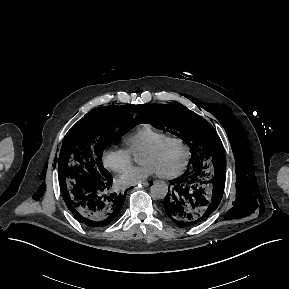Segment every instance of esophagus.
I'll use <instances>...</instances> for the list:
<instances>
[{
	"instance_id": "obj_1",
	"label": "esophagus",
	"mask_w": 289,
	"mask_h": 289,
	"mask_svg": "<svg viewBox=\"0 0 289 289\" xmlns=\"http://www.w3.org/2000/svg\"><path fill=\"white\" fill-rule=\"evenodd\" d=\"M140 185L143 186V187H147V186L150 185V183H148V182H142Z\"/></svg>"
}]
</instances>
